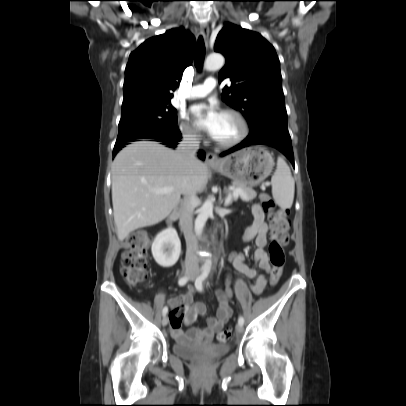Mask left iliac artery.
<instances>
[{
	"label": "left iliac artery",
	"mask_w": 406,
	"mask_h": 406,
	"mask_svg": "<svg viewBox=\"0 0 406 406\" xmlns=\"http://www.w3.org/2000/svg\"><path fill=\"white\" fill-rule=\"evenodd\" d=\"M210 272V269H204L202 274L196 279L195 281V287L198 291L202 292L203 291V282L206 280ZM238 323L243 325L244 324V318L242 316L239 317Z\"/></svg>",
	"instance_id": "44dca946"
}]
</instances>
